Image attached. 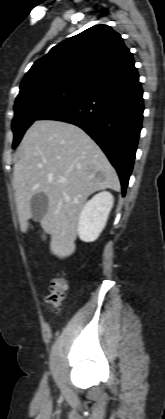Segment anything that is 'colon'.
Wrapping results in <instances>:
<instances>
[{"mask_svg":"<svg viewBox=\"0 0 165 419\" xmlns=\"http://www.w3.org/2000/svg\"><path fill=\"white\" fill-rule=\"evenodd\" d=\"M68 285L64 275L56 276L50 284L46 302L52 307H58L65 298Z\"/></svg>","mask_w":165,"mask_h":419,"instance_id":"colon-1","label":"colon"}]
</instances>
